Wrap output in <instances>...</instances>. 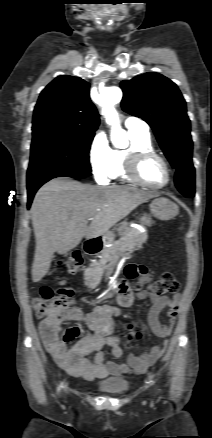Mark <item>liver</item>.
Masks as SVG:
<instances>
[{
  "label": "liver",
  "instance_id": "6515ba94",
  "mask_svg": "<svg viewBox=\"0 0 212 438\" xmlns=\"http://www.w3.org/2000/svg\"><path fill=\"white\" fill-rule=\"evenodd\" d=\"M158 194L126 186L99 187L66 178L43 185L31 206L36 247L33 282L49 271L55 252L66 254L82 240L104 236L117 222ZM94 219L90 225L87 221Z\"/></svg>",
  "mask_w": 212,
  "mask_h": 438
}]
</instances>
